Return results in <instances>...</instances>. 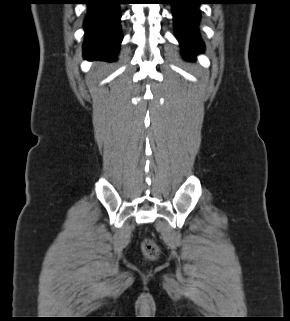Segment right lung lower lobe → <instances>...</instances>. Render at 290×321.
<instances>
[{"instance_id": "right-lung-lower-lobe-1", "label": "right lung lower lobe", "mask_w": 290, "mask_h": 321, "mask_svg": "<svg viewBox=\"0 0 290 321\" xmlns=\"http://www.w3.org/2000/svg\"><path fill=\"white\" fill-rule=\"evenodd\" d=\"M121 0H87L84 21V57L88 60L114 61L122 40L120 28Z\"/></svg>"}]
</instances>
